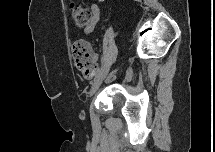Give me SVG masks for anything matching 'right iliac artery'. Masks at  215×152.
<instances>
[{"label":"right iliac artery","mask_w":215,"mask_h":152,"mask_svg":"<svg viewBox=\"0 0 215 152\" xmlns=\"http://www.w3.org/2000/svg\"><path fill=\"white\" fill-rule=\"evenodd\" d=\"M105 59L104 58H102V60H101V68L99 69V71H98V73H97V75H96V77H98L100 74H101V72L104 70V68H105Z\"/></svg>","instance_id":"1"}]
</instances>
